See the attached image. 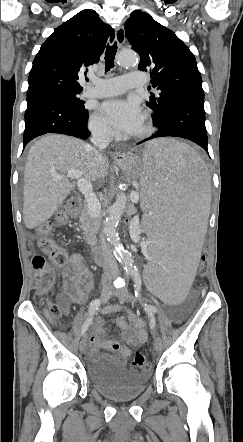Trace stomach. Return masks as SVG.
Segmentation results:
<instances>
[{"label":"stomach","mask_w":243,"mask_h":442,"mask_svg":"<svg viewBox=\"0 0 243 442\" xmlns=\"http://www.w3.org/2000/svg\"><path fill=\"white\" fill-rule=\"evenodd\" d=\"M140 163L139 156L127 154L118 165L126 171L129 177L137 178L138 165Z\"/></svg>","instance_id":"obj_1"}]
</instances>
